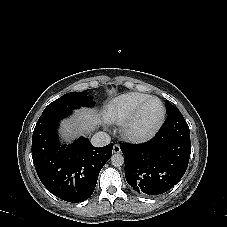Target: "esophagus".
Segmentation results:
<instances>
[{"instance_id": "esophagus-1", "label": "esophagus", "mask_w": 227, "mask_h": 227, "mask_svg": "<svg viewBox=\"0 0 227 227\" xmlns=\"http://www.w3.org/2000/svg\"><path fill=\"white\" fill-rule=\"evenodd\" d=\"M121 149L118 144H115L113 147V153H120Z\"/></svg>"}]
</instances>
